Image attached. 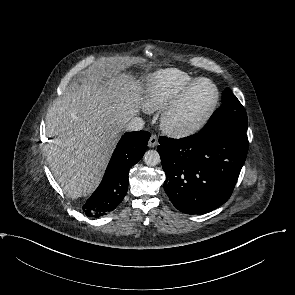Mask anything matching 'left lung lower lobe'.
<instances>
[{"mask_svg": "<svg viewBox=\"0 0 295 295\" xmlns=\"http://www.w3.org/2000/svg\"><path fill=\"white\" fill-rule=\"evenodd\" d=\"M164 190L187 214H205L232 194L248 151L247 135L228 128L202 129L182 138H159Z\"/></svg>", "mask_w": 295, "mask_h": 295, "instance_id": "1", "label": "left lung lower lobe"}]
</instances>
